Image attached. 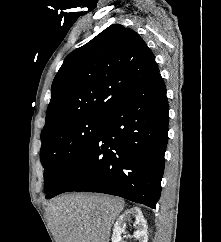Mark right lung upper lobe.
Instances as JSON below:
<instances>
[{
  "mask_svg": "<svg viewBox=\"0 0 221 242\" xmlns=\"http://www.w3.org/2000/svg\"><path fill=\"white\" fill-rule=\"evenodd\" d=\"M158 74L154 55L138 33L109 26L65 58L52 83L42 134L76 119L103 117Z\"/></svg>",
  "mask_w": 221,
  "mask_h": 242,
  "instance_id": "cb5924a9",
  "label": "right lung upper lobe"
}]
</instances>
